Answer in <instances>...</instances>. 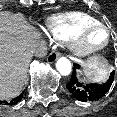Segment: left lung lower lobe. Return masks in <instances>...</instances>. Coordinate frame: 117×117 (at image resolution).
<instances>
[{"label": "left lung lower lobe", "instance_id": "1", "mask_svg": "<svg viewBox=\"0 0 117 117\" xmlns=\"http://www.w3.org/2000/svg\"><path fill=\"white\" fill-rule=\"evenodd\" d=\"M76 69H79L78 65L74 64V70L71 76L70 81L67 83V89L69 92L79 101L87 102V101H96L101 99L110 89L114 74L113 71L109 77V79L105 83L96 84H84L78 81L76 76Z\"/></svg>", "mask_w": 117, "mask_h": 117}]
</instances>
